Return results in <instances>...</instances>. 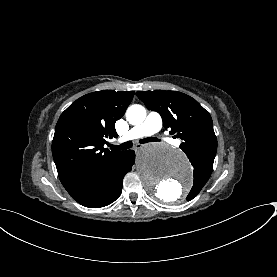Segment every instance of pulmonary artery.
Returning a JSON list of instances; mask_svg holds the SVG:
<instances>
[{
  "instance_id": "obj_1",
  "label": "pulmonary artery",
  "mask_w": 277,
  "mask_h": 277,
  "mask_svg": "<svg viewBox=\"0 0 277 277\" xmlns=\"http://www.w3.org/2000/svg\"><path fill=\"white\" fill-rule=\"evenodd\" d=\"M166 119L163 114L157 113L147 119L142 125H135L129 132L122 136L125 144H131L144 136L149 137L160 132L165 125Z\"/></svg>"
}]
</instances>
